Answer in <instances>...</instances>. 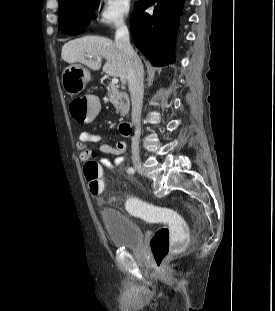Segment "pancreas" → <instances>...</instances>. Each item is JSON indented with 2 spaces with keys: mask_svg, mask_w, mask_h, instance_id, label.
I'll use <instances>...</instances> for the list:
<instances>
[{
  "mask_svg": "<svg viewBox=\"0 0 275 311\" xmlns=\"http://www.w3.org/2000/svg\"><path fill=\"white\" fill-rule=\"evenodd\" d=\"M107 90L109 101L115 107L116 111L121 116L127 115L130 107L128 95L125 92L119 91L116 85L112 84H109Z\"/></svg>",
  "mask_w": 275,
  "mask_h": 311,
  "instance_id": "cf45deb5",
  "label": "pancreas"
}]
</instances>
